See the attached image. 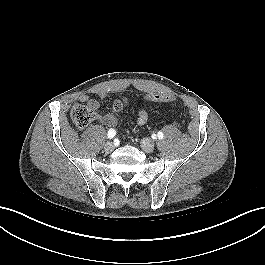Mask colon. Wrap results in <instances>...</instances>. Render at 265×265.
Masks as SVG:
<instances>
[{"mask_svg":"<svg viewBox=\"0 0 265 265\" xmlns=\"http://www.w3.org/2000/svg\"><path fill=\"white\" fill-rule=\"evenodd\" d=\"M148 99L151 101H161V102H170L172 99L169 96H160L157 93H150L148 95ZM124 107V103L121 101H116L113 104V111L115 114H118L122 111ZM96 111L95 107L90 104H76L71 111V118L74 124L78 128H84L88 126L95 118Z\"/></svg>","mask_w":265,"mask_h":265,"instance_id":"obj_1","label":"colon"}]
</instances>
